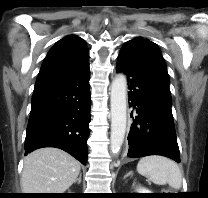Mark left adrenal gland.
<instances>
[{"label": "left adrenal gland", "mask_w": 208, "mask_h": 198, "mask_svg": "<svg viewBox=\"0 0 208 198\" xmlns=\"http://www.w3.org/2000/svg\"><path fill=\"white\" fill-rule=\"evenodd\" d=\"M133 172L132 171H129L125 176H124V179H126L128 176L132 175Z\"/></svg>", "instance_id": "obj_1"}]
</instances>
